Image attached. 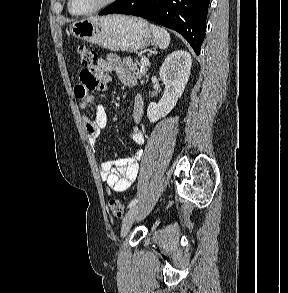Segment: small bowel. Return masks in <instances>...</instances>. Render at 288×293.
I'll return each instance as SVG.
<instances>
[{"label": "small bowel", "mask_w": 288, "mask_h": 293, "mask_svg": "<svg viewBox=\"0 0 288 293\" xmlns=\"http://www.w3.org/2000/svg\"><path fill=\"white\" fill-rule=\"evenodd\" d=\"M111 73L127 86L135 87L137 78L126 69L121 58L116 54H109L106 58L99 59L90 70H82L79 74V82L75 86V95L80 100V108L86 111L94 103V96L90 92L107 91L112 81ZM143 98L140 94L135 97L133 118L136 123L141 120L143 113ZM107 113L102 105H95L92 116L83 114V123L88 140L92 146H96L100 133L107 126ZM131 139L136 145L145 142L144 133L137 127L131 130ZM143 155L142 149H138L133 155L115 160L102 162L100 176L106 184L107 190L116 192L126 191L135 181L139 169V161Z\"/></svg>", "instance_id": "obj_1"}]
</instances>
